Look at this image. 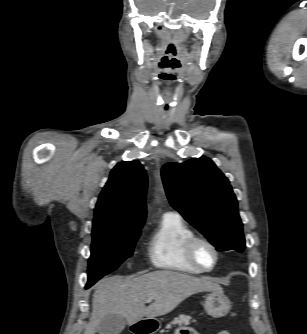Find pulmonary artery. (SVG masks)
I'll return each instance as SVG.
<instances>
[{
  "mask_svg": "<svg viewBox=\"0 0 307 334\" xmlns=\"http://www.w3.org/2000/svg\"><path fill=\"white\" fill-rule=\"evenodd\" d=\"M165 214H174L180 216L179 213L176 211H167Z\"/></svg>",
  "mask_w": 307,
  "mask_h": 334,
  "instance_id": "e3ab8cb5",
  "label": "pulmonary artery"
}]
</instances>
